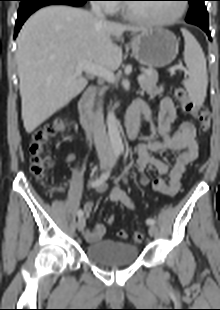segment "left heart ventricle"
<instances>
[{"label":"left heart ventricle","instance_id":"obj_1","mask_svg":"<svg viewBox=\"0 0 220 310\" xmlns=\"http://www.w3.org/2000/svg\"><path fill=\"white\" fill-rule=\"evenodd\" d=\"M179 3L129 4L132 13L152 20L172 17L178 11Z\"/></svg>","mask_w":220,"mask_h":310}]
</instances>
